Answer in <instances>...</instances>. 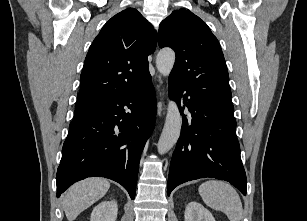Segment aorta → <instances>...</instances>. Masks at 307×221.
I'll return each instance as SVG.
<instances>
[{
	"instance_id": "obj_1",
	"label": "aorta",
	"mask_w": 307,
	"mask_h": 221,
	"mask_svg": "<svg viewBox=\"0 0 307 221\" xmlns=\"http://www.w3.org/2000/svg\"><path fill=\"white\" fill-rule=\"evenodd\" d=\"M175 63V53L170 48L159 51L156 67L161 75L168 77ZM182 118L177 104L169 100L165 125L157 144L159 154L168 152L177 142L181 133Z\"/></svg>"
}]
</instances>
